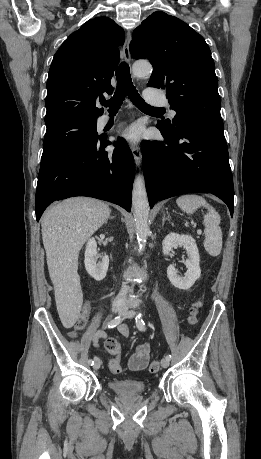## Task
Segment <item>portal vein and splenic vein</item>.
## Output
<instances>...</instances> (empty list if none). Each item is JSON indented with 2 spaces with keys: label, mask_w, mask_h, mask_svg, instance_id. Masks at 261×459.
<instances>
[{
  "label": "portal vein and splenic vein",
  "mask_w": 261,
  "mask_h": 459,
  "mask_svg": "<svg viewBox=\"0 0 261 459\" xmlns=\"http://www.w3.org/2000/svg\"><path fill=\"white\" fill-rule=\"evenodd\" d=\"M197 233H198V234H201V233H202V231H201V230H197Z\"/></svg>",
  "instance_id": "portal-vein-and-splenic-vein-1"
}]
</instances>
